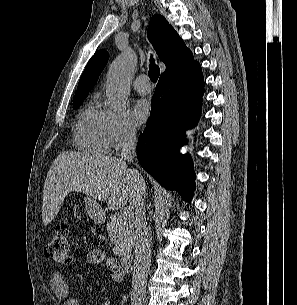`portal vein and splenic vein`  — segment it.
I'll return each instance as SVG.
<instances>
[{
  "label": "portal vein and splenic vein",
  "instance_id": "18ae733b",
  "mask_svg": "<svg viewBox=\"0 0 297 305\" xmlns=\"http://www.w3.org/2000/svg\"><path fill=\"white\" fill-rule=\"evenodd\" d=\"M128 216H129L128 212H124V213L122 214V217H123V218L128 217Z\"/></svg>",
  "mask_w": 297,
  "mask_h": 305
}]
</instances>
